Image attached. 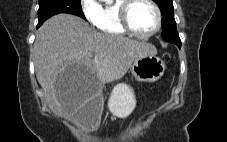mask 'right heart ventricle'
I'll return each mask as SVG.
<instances>
[{
    "instance_id": "obj_1",
    "label": "right heart ventricle",
    "mask_w": 227,
    "mask_h": 142,
    "mask_svg": "<svg viewBox=\"0 0 227 142\" xmlns=\"http://www.w3.org/2000/svg\"><path fill=\"white\" fill-rule=\"evenodd\" d=\"M121 3L122 0H115L113 4L100 7L99 17L95 25L101 32L115 36L127 34L119 20V6Z\"/></svg>"
}]
</instances>
